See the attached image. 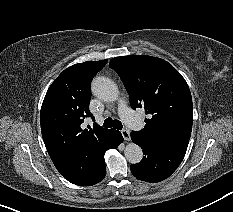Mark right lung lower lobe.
Returning a JSON list of instances; mask_svg holds the SVG:
<instances>
[{
	"instance_id": "right-lung-lower-lobe-1",
	"label": "right lung lower lobe",
	"mask_w": 233,
	"mask_h": 212,
	"mask_svg": "<svg viewBox=\"0 0 233 212\" xmlns=\"http://www.w3.org/2000/svg\"><path fill=\"white\" fill-rule=\"evenodd\" d=\"M121 142H123L121 133L115 129H111L106 141L98 152L97 160L92 172L74 184L79 186H90L100 182L106 175V167L104 162L105 152L109 149L117 148Z\"/></svg>"
}]
</instances>
